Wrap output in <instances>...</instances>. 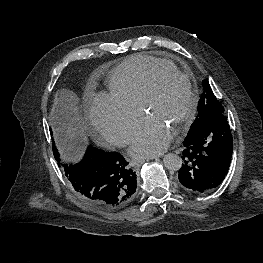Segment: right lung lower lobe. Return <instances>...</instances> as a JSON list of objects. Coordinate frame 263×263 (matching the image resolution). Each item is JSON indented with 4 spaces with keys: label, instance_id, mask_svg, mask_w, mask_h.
Masks as SVG:
<instances>
[{
    "label": "right lung lower lobe",
    "instance_id": "98d812e1",
    "mask_svg": "<svg viewBox=\"0 0 263 263\" xmlns=\"http://www.w3.org/2000/svg\"><path fill=\"white\" fill-rule=\"evenodd\" d=\"M65 176L88 203L103 209L129 204L136 191V174L118 152L89 146L77 163H67Z\"/></svg>",
    "mask_w": 263,
    "mask_h": 263
}]
</instances>
